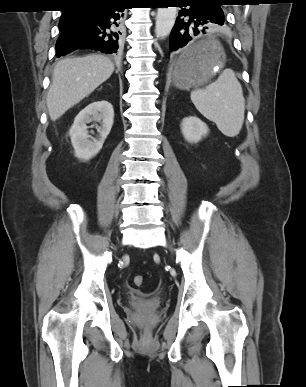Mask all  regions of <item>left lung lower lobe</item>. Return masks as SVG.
Listing matches in <instances>:
<instances>
[{
  "label": "left lung lower lobe",
  "mask_w": 306,
  "mask_h": 387,
  "mask_svg": "<svg viewBox=\"0 0 306 387\" xmlns=\"http://www.w3.org/2000/svg\"><path fill=\"white\" fill-rule=\"evenodd\" d=\"M186 8L179 11L169 39L170 51L185 47L193 36L208 33L209 25L225 23L222 3L209 0H179L176 2ZM181 6V7H182ZM193 56L189 53L182 57V63L190 62Z\"/></svg>",
  "instance_id": "left-lung-lower-lobe-1"
}]
</instances>
